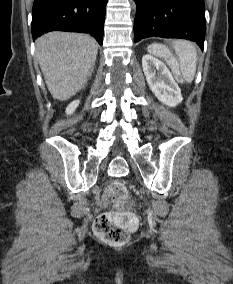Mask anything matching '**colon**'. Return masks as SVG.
Instances as JSON below:
<instances>
[{"label": "colon", "instance_id": "1", "mask_svg": "<svg viewBox=\"0 0 233 284\" xmlns=\"http://www.w3.org/2000/svg\"><path fill=\"white\" fill-rule=\"evenodd\" d=\"M149 53L163 59L174 78L180 83L184 82L178 61L166 46L152 44L149 46ZM108 193L117 210L99 215L95 220L94 230L100 238L110 243H125L129 239L130 229L135 224L134 215L121 208L128 198V189L124 182L116 180L110 184Z\"/></svg>", "mask_w": 233, "mask_h": 284}]
</instances>
